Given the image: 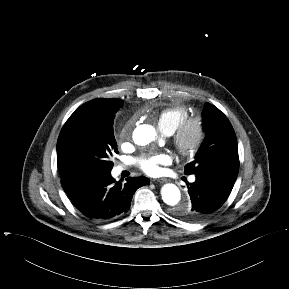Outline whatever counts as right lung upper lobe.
<instances>
[{"instance_id": "cb5924a9", "label": "right lung upper lobe", "mask_w": 289, "mask_h": 289, "mask_svg": "<svg viewBox=\"0 0 289 289\" xmlns=\"http://www.w3.org/2000/svg\"><path fill=\"white\" fill-rule=\"evenodd\" d=\"M61 178L62 186L67 194L70 193L75 188V186L80 183V181L70 180L63 177L62 175Z\"/></svg>"}]
</instances>
